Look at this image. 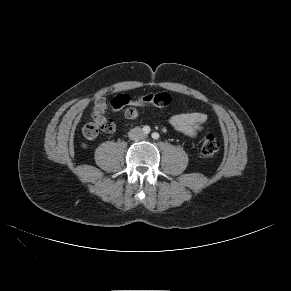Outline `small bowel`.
I'll use <instances>...</instances> for the list:
<instances>
[{
	"label": "small bowel",
	"mask_w": 291,
	"mask_h": 291,
	"mask_svg": "<svg viewBox=\"0 0 291 291\" xmlns=\"http://www.w3.org/2000/svg\"><path fill=\"white\" fill-rule=\"evenodd\" d=\"M108 105L109 103L105 98L100 97L96 99L93 106L92 114L104 115V113L106 112L108 108ZM141 107L143 106L130 105L129 107H124L125 117L131 120L136 119L140 114L139 108ZM208 121H209L208 116L201 112L179 113V114L173 115L170 118V124L175 130L191 138H195L204 129Z\"/></svg>",
	"instance_id": "small-bowel-1"
}]
</instances>
